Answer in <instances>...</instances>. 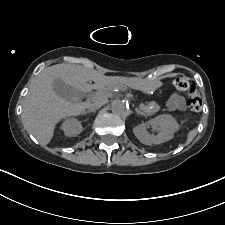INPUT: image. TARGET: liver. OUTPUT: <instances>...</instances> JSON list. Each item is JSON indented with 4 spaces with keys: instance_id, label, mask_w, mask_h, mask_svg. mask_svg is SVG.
Here are the masks:
<instances>
[{
    "instance_id": "liver-1",
    "label": "liver",
    "mask_w": 225,
    "mask_h": 225,
    "mask_svg": "<svg viewBox=\"0 0 225 225\" xmlns=\"http://www.w3.org/2000/svg\"><path fill=\"white\" fill-rule=\"evenodd\" d=\"M56 78L63 80L77 92L102 89L114 83L113 78L80 65L57 64L45 68L31 81L22 105L24 127L42 145L50 143L59 121L83 114L90 104L89 101L79 102L77 98L70 101L58 96L53 89V81ZM88 81H94L95 85L88 84ZM97 96L93 97L92 101H95Z\"/></svg>"
}]
</instances>
